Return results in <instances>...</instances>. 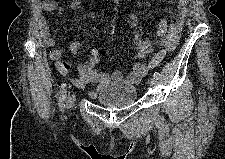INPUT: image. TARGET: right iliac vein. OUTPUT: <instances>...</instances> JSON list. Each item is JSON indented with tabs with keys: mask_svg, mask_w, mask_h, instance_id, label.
Returning <instances> with one entry per match:
<instances>
[{
	"mask_svg": "<svg viewBox=\"0 0 225 159\" xmlns=\"http://www.w3.org/2000/svg\"><path fill=\"white\" fill-rule=\"evenodd\" d=\"M73 103H74V97H73V96H69V97L67 98V107H68V108H72Z\"/></svg>",
	"mask_w": 225,
	"mask_h": 159,
	"instance_id": "1",
	"label": "right iliac vein"
}]
</instances>
